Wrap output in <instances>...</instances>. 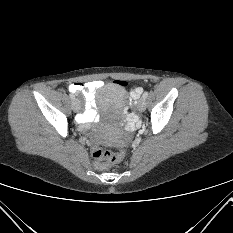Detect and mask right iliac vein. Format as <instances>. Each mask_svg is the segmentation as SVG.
Returning a JSON list of instances; mask_svg holds the SVG:
<instances>
[{"label":"right iliac vein","instance_id":"obj_1","mask_svg":"<svg viewBox=\"0 0 233 233\" xmlns=\"http://www.w3.org/2000/svg\"><path fill=\"white\" fill-rule=\"evenodd\" d=\"M80 107H81V105H80L79 100L74 99V100L72 101V109H73V111H74V112H78L79 109H80Z\"/></svg>","mask_w":233,"mask_h":233}]
</instances>
